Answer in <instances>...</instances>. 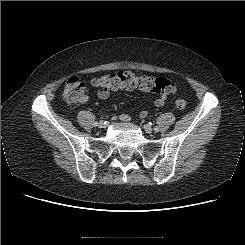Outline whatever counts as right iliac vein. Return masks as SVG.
I'll use <instances>...</instances> for the list:
<instances>
[{"mask_svg":"<svg viewBox=\"0 0 245 245\" xmlns=\"http://www.w3.org/2000/svg\"><path fill=\"white\" fill-rule=\"evenodd\" d=\"M98 127L99 128H105L106 127V123L101 121V122L98 123Z\"/></svg>","mask_w":245,"mask_h":245,"instance_id":"right-iliac-vein-1","label":"right iliac vein"}]
</instances>
